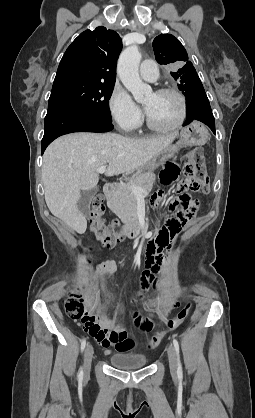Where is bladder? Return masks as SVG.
<instances>
[{"instance_id": "obj_1", "label": "bladder", "mask_w": 255, "mask_h": 418, "mask_svg": "<svg viewBox=\"0 0 255 418\" xmlns=\"http://www.w3.org/2000/svg\"><path fill=\"white\" fill-rule=\"evenodd\" d=\"M109 362L117 369L133 370L146 366L148 357L143 353L115 354L109 358Z\"/></svg>"}]
</instances>
